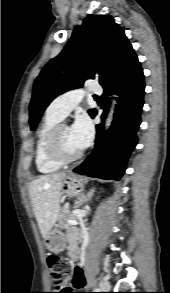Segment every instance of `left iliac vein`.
Here are the masks:
<instances>
[{"label": "left iliac vein", "mask_w": 170, "mask_h": 293, "mask_svg": "<svg viewBox=\"0 0 170 293\" xmlns=\"http://www.w3.org/2000/svg\"><path fill=\"white\" fill-rule=\"evenodd\" d=\"M101 285L105 288V290H109L110 289V283L107 280H104L101 282Z\"/></svg>", "instance_id": "1"}]
</instances>
